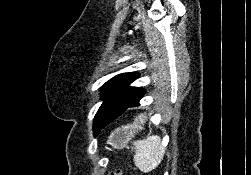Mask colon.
Segmentation results:
<instances>
[{"mask_svg":"<svg viewBox=\"0 0 251 175\" xmlns=\"http://www.w3.org/2000/svg\"><path fill=\"white\" fill-rule=\"evenodd\" d=\"M121 174H122L121 171L116 170V171L112 172L110 175H121Z\"/></svg>","mask_w":251,"mask_h":175,"instance_id":"obj_1","label":"colon"}]
</instances>
